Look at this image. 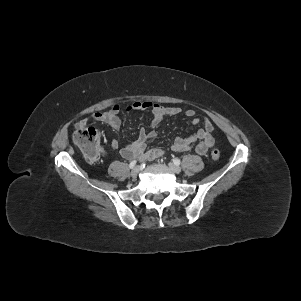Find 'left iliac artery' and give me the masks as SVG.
Returning a JSON list of instances; mask_svg holds the SVG:
<instances>
[{"label": "left iliac artery", "instance_id": "left-iliac-artery-1", "mask_svg": "<svg viewBox=\"0 0 301 301\" xmlns=\"http://www.w3.org/2000/svg\"><path fill=\"white\" fill-rule=\"evenodd\" d=\"M173 161H174V163H175L176 165H179V164H180V159H178V158H175Z\"/></svg>", "mask_w": 301, "mask_h": 301}]
</instances>
